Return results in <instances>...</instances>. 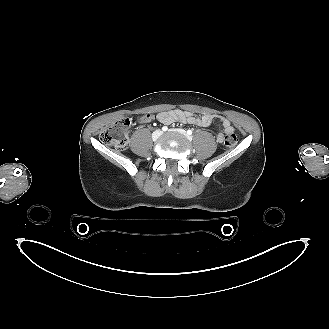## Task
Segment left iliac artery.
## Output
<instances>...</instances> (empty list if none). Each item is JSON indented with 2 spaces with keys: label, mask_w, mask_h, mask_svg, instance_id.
<instances>
[{
  "label": "left iliac artery",
  "mask_w": 329,
  "mask_h": 329,
  "mask_svg": "<svg viewBox=\"0 0 329 329\" xmlns=\"http://www.w3.org/2000/svg\"><path fill=\"white\" fill-rule=\"evenodd\" d=\"M192 133H193L192 130H188V131H187V134H188V135H192Z\"/></svg>",
  "instance_id": "left-iliac-artery-1"
}]
</instances>
